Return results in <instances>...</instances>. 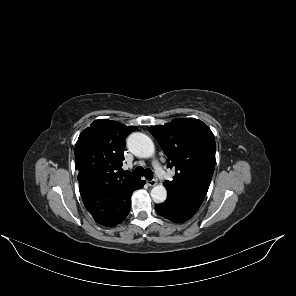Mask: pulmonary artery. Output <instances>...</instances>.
<instances>
[{
  "label": "pulmonary artery",
  "instance_id": "pulmonary-artery-1",
  "mask_svg": "<svg viewBox=\"0 0 296 296\" xmlns=\"http://www.w3.org/2000/svg\"><path fill=\"white\" fill-rule=\"evenodd\" d=\"M157 174L161 177H165L166 174L163 172V170L161 168H157Z\"/></svg>",
  "mask_w": 296,
  "mask_h": 296
}]
</instances>
